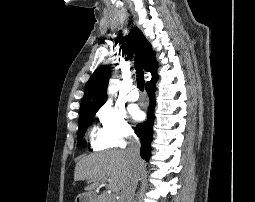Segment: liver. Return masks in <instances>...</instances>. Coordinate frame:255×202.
Returning a JSON list of instances; mask_svg holds the SVG:
<instances>
[{"instance_id": "obj_1", "label": "liver", "mask_w": 255, "mask_h": 202, "mask_svg": "<svg viewBox=\"0 0 255 202\" xmlns=\"http://www.w3.org/2000/svg\"><path fill=\"white\" fill-rule=\"evenodd\" d=\"M142 161L140 170L142 168ZM133 165L125 151L111 150L93 153L80 159L75 167L74 181L91 179L93 184L85 190L91 191L109 179L108 188L115 193L122 191L129 183Z\"/></svg>"}]
</instances>
